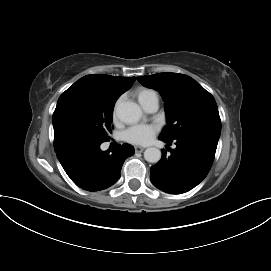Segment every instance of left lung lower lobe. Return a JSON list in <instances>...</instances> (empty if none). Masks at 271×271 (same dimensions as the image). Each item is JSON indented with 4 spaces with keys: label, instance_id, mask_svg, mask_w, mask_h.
I'll list each match as a JSON object with an SVG mask.
<instances>
[{
    "label": "left lung lower lobe",
    "instance_id": "left-lung-lower-lobe-1",
    "mask_svg": "<svg viewBox=\"0 0 271 271\" xmlns=\"http://www.w3.org/2000/svg\"><path fill=\"white\" fill-rule=\"evenodd\" d=\"M171 145L172 141L160 138ZM219 138L208 135H185L173 140L176 148L151 167V182L170 194L185 193L197 186L208 174L214 161Z\"/></svg>",
    "mask_w": 271,
    "mask_h": 271
}]
</instances>
